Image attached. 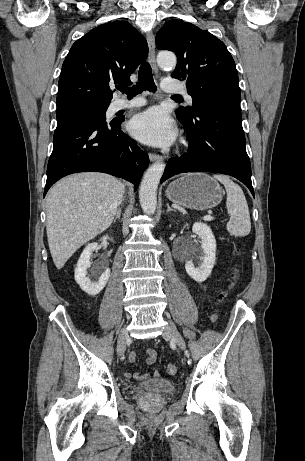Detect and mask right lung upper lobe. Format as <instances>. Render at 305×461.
Instances as JSON below:
<instances>
[{
  "label": "right lung upper lobe",
  "mask_w": 305,
  "mask_h": 461,
  "mask_svg": "<svg viewBox=\"0 0 305 461\" xmlns=\"http://www.w3.org/2000/svg\"><path fill=\"white\" fill-rule=\"evenodd\" d=\"M145 38L128 22L99 25L77 40L62 65L57 109L110 103L113 84H131L129 76L147 58Z\"/></svg>",
  "instance_id": "right-lung-upper-lobe-1"
}]
</instances>
